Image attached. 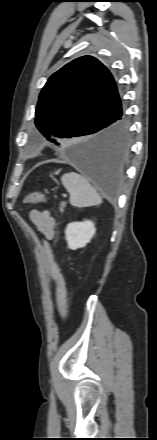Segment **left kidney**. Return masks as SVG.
Segmentation results:
<instances>
[{"mask_svg":"<svg viewBox=\"0 0 157 440\" xmlns=\"http://www.w3.org/2000/svg\"><path fill=\"white\" fill-rule=\"evenodd\" d=\"M96 233L92 221L73 222L67 225L65 237L71 250L85 247Z\"/></svg>","mask_w":157,"mask_h":440,"instance_id":"left-kidney-1","label":"left kidney"}]
</instances>
